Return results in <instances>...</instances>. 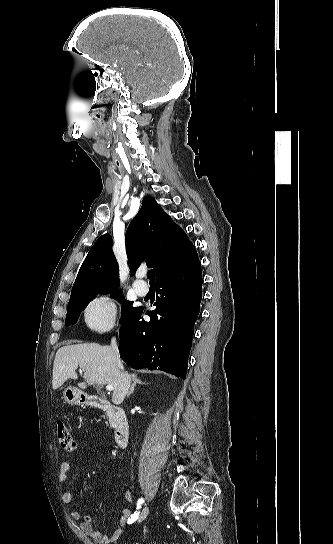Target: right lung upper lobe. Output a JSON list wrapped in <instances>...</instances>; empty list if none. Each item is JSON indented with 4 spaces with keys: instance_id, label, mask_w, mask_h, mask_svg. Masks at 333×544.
<instances>
[{
    "instance_id": "cb5924a9",
    "label": "right lung upper lobe",
    "mask_w": 333,
    "mask_h": 544,
    "mask_svg": "<svg viewBox=\"0 0 333 544\" xmlns=\"http://www.w3.org/2000/svg\"><path fill=\"white\" fill-rule=\"evenodd\" d=\"M125 243L132 275L144 259L153 267L156 281L199 262L186 234L151 196L143 198L127 229ZM111 246L109 234L96 241L79 270L70 299L91 291L119 290L118 264Z\"/></svg>"
}]
</instances>
